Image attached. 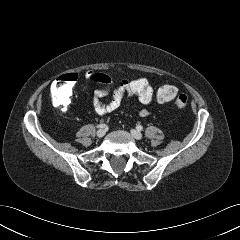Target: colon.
<instances>
[{
    "label": "colon",
    "mask_w": 240,
    "mask_h": 240,
    "mask_svg": "<svg viewBox=\"0 0 240 240\" xmlns=\"http://www.w3.org/2000/svg\"><path fill=\"white\" fill-rule=\"evenodd\" d=\"M94 82L108 84L112 80L109 76L97 73L91 76ZM76 77L74 74L63 75L57 78L52 85L53 103L61 108H66L70 102L71 91ZM128 93L143 104L151 102L168 103L174 102L177 108L183 109L188 105L186 94L178 91L177 87L171 84H164L155 87L143 76H135L125 80Z\"/></svg>",
    "instance_id": "1"
}]
</instances>
